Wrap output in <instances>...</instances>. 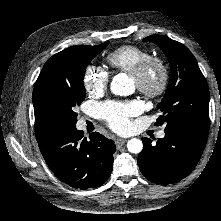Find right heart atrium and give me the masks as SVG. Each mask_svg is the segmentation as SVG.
Listing matches in <instances>:
<instances>
[{
	"mask_svg": "<svg viewBox=\"0 0 221 221\" xmlns=\"http://www.w3.org/2000/svg\"><path fill=\"white\" fill-rule=\"evenodd\" d=\"M109 80V73L98 66L88 65L84 70V87L89 94L103 93L109 85Z\"/></svg>",
	"mask_w": 221,
	"mask_h": 221,
	"instance_id": "obj_1",
	"label": "right heart atrium"
}]
</instances>
